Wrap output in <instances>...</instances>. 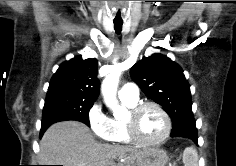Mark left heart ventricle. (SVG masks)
<instances>
[{
  "label": "left heart ventricle",
  "instance_id": "b2bd125f",
  "mask_svg": "<svg viewBox=\"0 0 236 166\" xmlns=\"http://www.w3.org/2000/svg\"><path fill=\"white\" fill-rule=\"evenodd\" d=\"M136 129L142 140L151 142L163 135L165 122L158 110L149 107L139 114L136 120Z\"/></svg>",
  "mask_w": 236,
  "mask_h": 166
}]
</instances>
